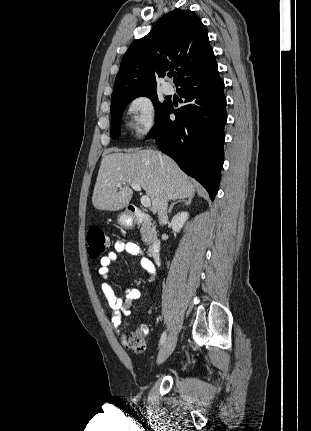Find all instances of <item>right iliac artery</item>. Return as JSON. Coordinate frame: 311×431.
Returning <instances> with one entry per match:
<instances>
[{
  "label": "right iliac artery",
  "mask_w": 311,
  "mask_h": 431,
  "mask_svg": "<svg viewBox=\"0 0 311 431\" xmlns=\"http://www.w3.org/2000/svg\"><path fill=\"white\" fill-rule=\"evenodd\" d=\"M166 336H167V334H166V332L164 331V332L162 333V335H161V338H160V346H162V345L164 344V342H165V340H166Z\"/></svg>",
  "instance_id": "obj_1"
}]
</instances>
